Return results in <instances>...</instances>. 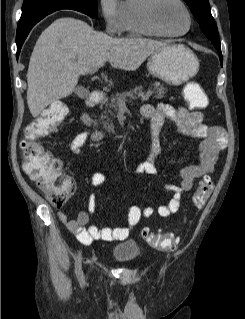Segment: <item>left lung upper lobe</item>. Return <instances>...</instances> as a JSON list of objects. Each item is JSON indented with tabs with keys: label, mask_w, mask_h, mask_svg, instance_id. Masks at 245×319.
<instances>
[{
	"label": "left lung upper lobe",
	"mask_w": 245,
	"mask_h": 319,
	"mask_svg": "<svg viewBox=\"0 0 245 319\" xmlns=\"http://www.w3.org/2000/svg\"><path fill=\"white\" fill-rule=\"evenodd\" d=\"M192 10L204 34L212 41L216 49L220 48L218 29L211 15L208 0H184Z\"/></svg>",
	"instance_id": "obj_1"
}]
</instances>
